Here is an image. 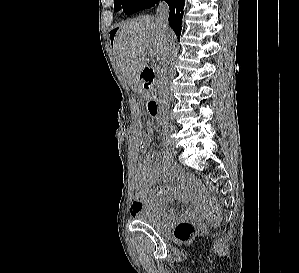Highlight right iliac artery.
Instances as JSON below:
<instances>
[{"label": "right iliac artery", "mask_w": 299, "mask_h": 273, "mask_svg": "<svg viewBox=\"0 0 299 273\" xmlns=\"http://www.w3.org/2000/svg\"><path fill=\"white\" fill-rule=\"evenodd\" d=\"M162 155H163L164 159H166V160H172V155H171L170 152H168V151H164V152L162 153Z\"/></svg>", "instance_id": "obj_1"}]
</instances>
